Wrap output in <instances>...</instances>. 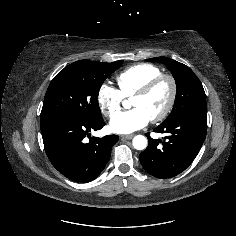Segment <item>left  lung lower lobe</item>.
I'll return each mask as SVG.
<instances>
[{
	"mask_svg": "<svg viewBox=\"0 0 236 236\" xmlns=\"http://www.w3.org/2000/svg\"><path fill=\"white\" fill-rule=\"evenodd\" d=\"M153 131L168 136L154 140L147 133L149 145L139 155L140 162L154 177H174L192 163L205 140L207 109L190 110L171 122L160 124Z\"/></svg>",
	"mask_w": 236,
	"mask_h": 236,
	"instance_id": "obj_1",
	"label": "left lung lower lobe"
}]
</instances>
